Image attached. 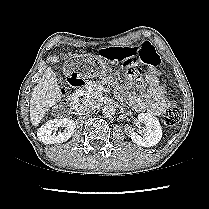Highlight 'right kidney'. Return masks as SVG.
<instances>
[{"label": "right kidney", "mask_w": 209, "mask_h": 209, "mask_svg": "<svg viewBox=\"0 0 209 209\" xmlns=\"http://www.w3.org/2000/svg\"><path fill=\"white\" fill-rule=\"evenodd\" d=\"M63 131L56 133L58 128ZM76 124L72 119H54L42 125L37 132L38 139L44 144L63 143L67 141L74 133Z\"/></svg>", "instance_id": "obj_1"}]
</instances>
